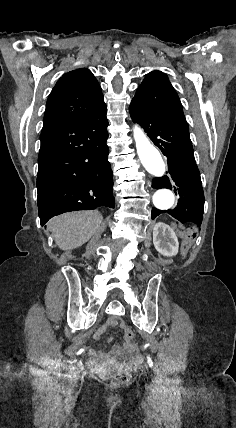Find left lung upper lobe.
<instances>
[{
	"label": "left lung upper lobe",
	"mask_w": 236,
	"mask_h": 428,
	"mask_svg": "<svg viewBox=\"0 0 236 428\" xmlns=\"http://www.w3.org/2000/svg\"><path fill=\"white\" fill-rule=\"evenodd\" d=\"M136 110L185 120L179 97L166 74L152 71L146 75L130 104Z\"/></svg>",
	"instance_id": "1"
}]
</instances>
